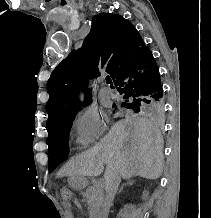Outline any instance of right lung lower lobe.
<instances>
[{"label":"right lung lower lobe","mask_w":211,"mask_h":218,"mask_svg":"<svg viewBox=\"0 0 211 218\" xmlns=\"http://www.w3.org/2000/svg\"><path fill=\"white\" fill-rule=\"evenodd\" d=\"M123 98L163 99V89L157 64L150 50L124 68L114 79Z\"/></svg>","instance_id":"98d812e1"}]
</instances>
